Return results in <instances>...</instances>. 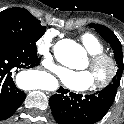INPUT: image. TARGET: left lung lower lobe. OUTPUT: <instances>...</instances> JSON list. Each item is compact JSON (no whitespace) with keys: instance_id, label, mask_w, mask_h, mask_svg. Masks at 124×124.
<instances>
[{"instance_id":"1","label":"left lung lower lobe","mask_w":124,"mask_h":124,"mask_svg":"<svg viewBox=\"0 0 124 124\" xmlns=\"http://www.w3.org/2000/svg\"><path fill=\"white\" fill-rule=\"evenodd\" d=\"M49 99L52 115L58 124H95L112 106L117 88L107 86L90 95L68 93L60 87Z\"/></svg>"}]
</instances>
